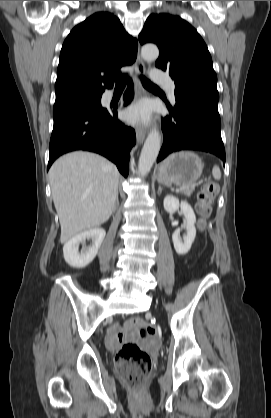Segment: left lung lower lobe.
Segmentation results:
<instances>
[{
    "instance_id": "1",
    "label": "left lung lower lobe",
    "mask_w": 271,
    "mask_h": 418,
    "mask_svg": "<svg viewBox=\"0 0 271 418\" xmlns=\"http://www.w3.org/2000/svg\"><path fill=\"white\" fill-rule=\"evenodd\" d=\"M174 108L162 119L163 145L157 162L180 150L212 153L225 163L218 100L189 90H175Z\"/></svg>"
}]
</instances>
